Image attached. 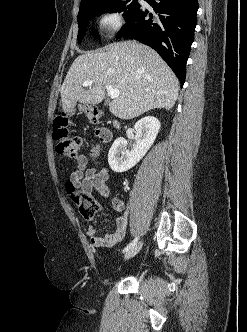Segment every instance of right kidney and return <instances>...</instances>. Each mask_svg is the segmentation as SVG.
<instances>
[{
	"label": "right kidney",
	"instance_id": "right-kidney-1",
	"mask_svg": "<svg viewBox=\"0 0 247 332\" xmlns=\"http://www.w3.org/2000/svg\"><path fill=\"white\" fill-rule=\"evenodd\" d=\"M161 124L153 116H146L134 125L136 144L132 151L127 150V140L119 137L108 153V163L114 172H125L135 166L153 145Z\"/></svg>",
	"mask_w": 247,
	"mask_h": 332
}]
</instances>
